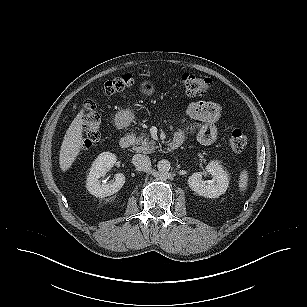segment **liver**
<instances>
[{
  "mask_svg": "<svg viewBox=\"0 0 307 307\" xmlns=\"http://www.w3.org/2000/svg\"><path fill=\"white\" fill-rule=\"evenodd\" d=\"M84 110H80L66 131L59 154V164L66 172L74 163L80 153L83 143V117Z\"/></svg>",
  "mask_w": 307,
  "mask_h": 307,
  "instance_id": "6515ba94",
  "label": "liver"
}]
</instances>
